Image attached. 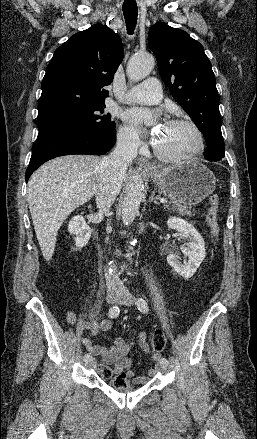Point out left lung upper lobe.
Listing matches in <instances>:
<instances>
[{
  "instance_id": "obj_1",
  "label": "left lung upper lobe",
  "mask_w": 257,
  "mask_h": 439,
  "mask_svg": "<svg viewBox=\"0 0 257 439\" xmlns=\"http://www.w3.org/2000/svg\"><path fill=\"white\" fill-rule=\"evenodd\" d=\"M148 44L173 98L204 135L207 143L204 157L209 161L220 160L225 156V144L221 133L219 95L203 46L185 31L163 22L151 27Z\"/></svg>"
}]
</instances>
